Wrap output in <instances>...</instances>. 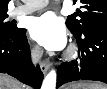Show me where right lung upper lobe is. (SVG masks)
Listing matches in <instances>:
<instances>
[{"mask_svg": "<svg viewBox=\"0 0 107 89\" xmlns=\"http://www.w3.org/2000/svg\"><path fill=\"white\" fill-rule=\"evenodd\" d=\"M9 0H0V13H6Z\"/></svg>", "mask_w": 107, "mask_h": 89, "instance_id": "1", "label": "right lung upper lobe"}]
</instances>
